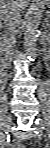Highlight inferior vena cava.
<instances>
[{"instance_id": "1", "label": "inferior vena cava", "mask_w": 50, "mask_h": 148, "mask_svg": "<svg viewBox=\"0 0 50 148\" xmlns=\"http://www.w3.org/2000/svg\"><path fill=\"white\" fill-rule=\"evenodd\" d=\"M3 19V35H2V50L6 57H10L14 54V48L16 44V32L17 27L20 24V7L18 4L11 0L1 12Z\"/></svg>"}]
</instances>
